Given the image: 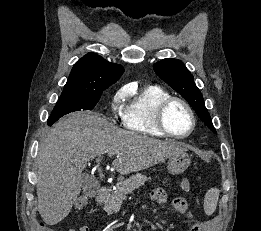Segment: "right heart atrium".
<instances>
[{
  "mask_svg": "<svg viewBox=\"0 0 261 231\" xmlns=\"http://www.w3.org/2000/svg\"><path fill=\"white\" fill-rule=\"evenodd\" d=\"M126 89L127 88H121L120 90H118L113 98H112V102H111V106L113 108V110L115 111L116 114L118 115H122V112L118 109L119 104L122 102V100L125 98L126 96Z\"/></svg>",
  "mask_w": 261,
  "mask_h": 231,
  "instance_id": "d8ad5b80",
  "label": "right heart atrium"
}]
</instances>
